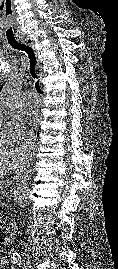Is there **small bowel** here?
<instances>
[{
	"instance_id": "small-bowel-1",
	"label": "small bowel",
	"mask_w": 118,
	"mask_h": 269,
	"mask_svg": "<svg viewBox=\"0 0 118 269\" xmlns=\"http://www.w3.org/2000/svg\"><path fill=\"white\" fill-rule=\"evenodd\" d=\"M1 264H2L3 266H6V264H7V260L3 259L2 262H1Z\"/></svg>"
}]
</instances>
